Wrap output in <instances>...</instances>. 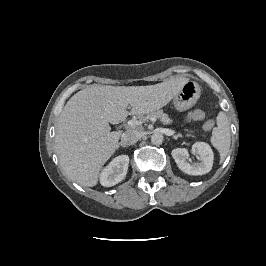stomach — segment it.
Returning a JSON list of instances; mask_svg holds the SVG:
<instances>
[{"mask_svg": "<svg viewBox=\"0 0 266 266\" xmlns=\"http://www.w3.org/2000/svg\"><path fill=\"white\" fill-rule=\"evenodd\" d=\"M200 95L201 89L199 84L195 81L187 80L174 96V106L179 111L187 110L197 102Z\"/></svg>", "mask_w": 266, "mask_h": 266, "instance_id": "1", "label": "stomach"}]
</instances>
